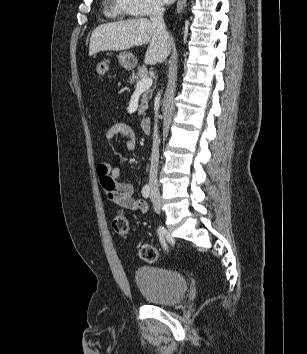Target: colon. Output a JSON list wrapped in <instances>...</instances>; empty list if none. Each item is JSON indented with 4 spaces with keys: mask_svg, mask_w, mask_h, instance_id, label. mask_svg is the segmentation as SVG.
I'll return each instance as SVG.
<instances>
[{
    "mask_svg": "<svg viewBox=\"0 0 307 354\" xmlns=\"http://www.w3.org/2000/svg\"><path fill=\"white\" fill-rule=\"evenodd\" d=\"M109 61L106 59L99 60L95 64V71L100 77H105L109 72ZM112 226L115 232L121 236H125L129 232V219L124 210H117L114 214ZM138 256L143 261L149 263L157 262L161 257V252L158 248L150 244H142L138 248Z\"/></svg>",
    "mask_w": 307,
    "mask_h": 354,
    "instance_id": "obj_1",
    "label": "colon"
}]
</instances>
